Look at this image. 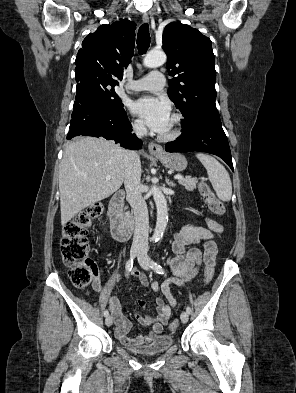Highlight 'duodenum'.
I'll return each instance as SVG.
<instances>
[{"label":"duodenum","mask_w":296,"mask_h":393,"mask_svg":"<svg viewBox=\"0 0 296 393\" xmlns=\"http://www.w3.org/2000/svg\"><path fill=\"white\" fill-rule=\"evenodd\" d=\"M124 198V191H117L109 204L111 232L114 239L118 242L127 241L132 234V226L125 218L123 212Z\"/></svg>","instance_id":"410a0bca"}]
</instances>
